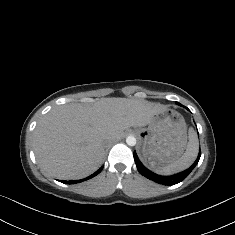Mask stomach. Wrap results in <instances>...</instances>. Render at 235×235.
I'll return each instance as SVG.
<instances>
[{
    "label": "stomach",
    "mask_w": 235,
    "mask_h": 235,
    "mask_svg": "<svg viewBox=\"0 0 235 235\" xmlns=\"http://www.w3.org/2000/svg\"><path fill=\"white\" fill-rule=\"evenodd\" d=\"M137 135L141 140L140 157L152 169L178 159L187 146L184 117L169 108L154 113L147 127L137 129Z\"/></svg>",
    "instance_id": "1"
}]
</instances>
